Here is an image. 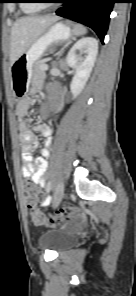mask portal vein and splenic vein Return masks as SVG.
Returning <instances> with one entry per match:
<instances>
[{"mask_svg":"<svg viewBox=\"0 0 136 296\" xmlns=\"http://www.w3.org/2000/svg\"><path fill=\"white\" fill-rule=\"evenodd\" d=\"M42 69H43V70H47L48 67H47L46 65H44V66L42 67Z\"/></svg>","mask_w":136,"mask_h":296,"instance_id":"1","label":"portal vein and splenic vein"}]
</instances>
